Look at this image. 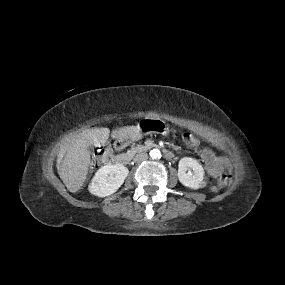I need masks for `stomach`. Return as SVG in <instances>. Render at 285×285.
<instances>
[{"label": "stomach", "instance_id": "1", "mask_svg": "<svg viewBox=\"0 0 285 285\" xmlns=\"http://www.w3.org/2000/svg\"><path fill=\"white\" fill-rule=\"evenodd\" d=\"M157 124H158L157 121L142 120L136 126V131L132 135H129V136L131 137V139L136 140V139L142 137L143 135H146V134H149V133H153V132H155L153 130V126L157 125ZM163 129H165V125H163Z\"/></svg>", "mask_w": 285, "mask_h": 285}]
</instances>
